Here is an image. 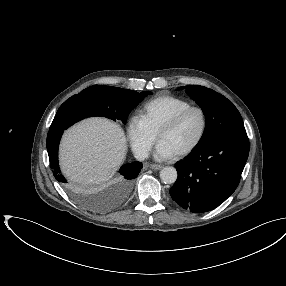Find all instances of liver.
<instances>
[{
    "label": "liver",
    "instance_id": "obj_1",
    "mask_svg": "<svg viewBox=\"0 0 286 286\" xmlns=\"http://www.w3.org/2000/svg\"><path fill=\"white\" fill-rule=\"evenodd\" d=\"M126 152V137L118 124L105 118H89L64 133L60 165L72 181L100 183L113 176Z\"/></svg>",
    "mask_w": 286,
    "mask_h": 286
}]
</instances>
